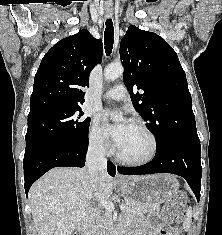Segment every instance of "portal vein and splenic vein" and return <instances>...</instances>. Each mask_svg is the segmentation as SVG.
Listing matches in <instances>:
<instances>
[{
    "label": "portal vein and splenic vein",
    "mask_w": 222,
    "mask_h": 235,
    "mask_svg": "<svg viewBox=\"0 0 222 235\" xmlns=\"http://www.w3.org/2000/svg\"><path fill=\"white\" fill-rule=\"evenodd\" d=\"M100 204H102V206L106 209L107 212H113L115 207H114V204L108 200H105V199H100L99 200ZM120 209L121 210H125V206L124 205H121L120 206Z\"/></svg>",
    "instance_id": "obj_1"
}]
</instances>
